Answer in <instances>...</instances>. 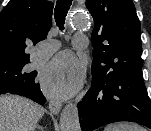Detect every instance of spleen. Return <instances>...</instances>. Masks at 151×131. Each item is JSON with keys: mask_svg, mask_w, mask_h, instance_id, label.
I'll use <instances>...</instances> for the list:
<instances>
[{"mask_svg": "<svg viewBox=\"0 0 151 131\" xmlns=\"http://www.w3.org/2000/svg\"><path fill=\"white\" fill-rule=\"evenodd\" d=\"M104 131H144V129L134 124L117 123L106 126Z\"/></svg>", "mask_w": 151, "mask_h": 131, "instance_id": "1", "label": "spleen"}]
</instances>
